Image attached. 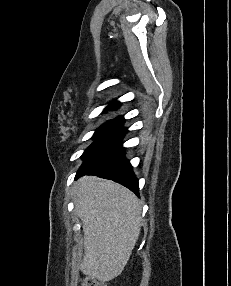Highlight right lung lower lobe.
Returning a JSON list of instances; mask_svg holds the SVG:
<instances>
[{
	"label": "right lung lower lobe",
	"instance_id": "right-lung-lower-lobe-1",
	"mask_svg": "<svg viewBox=\"0 0 231 286\" xmlns=\"http://www.w3.org/2000/svg\"><path fill=\"white\" fill-rule=\"evenodd\" d=\"M126 132L120 127L111 136L85 155L84 163L77 172L76 178L83 175H98L99 177L116 181L138 194V180L132 166L124 157L121 140Z\"/></svg>",
	"mask_w": 231,
	"mask_h": 286
}]
</instances>
